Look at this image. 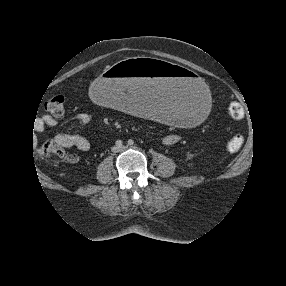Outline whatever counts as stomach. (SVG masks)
<instances>
[{"label":"stomach","instance_id":"obj_1","mask_svg":"<svg viewBox=\"0 0 286 286\" xmlns=\"http://www.w3.org/2000/svg\"><path fill=\"white\" fill-rule=\"evenodd\" d=\"M89 94L103 108L173 130L200 126L214 104L212 87L199 72L148 57L107 68L92 81Z\"/></svg>","mask_w":286,"mask_h":286}]
</instances>
